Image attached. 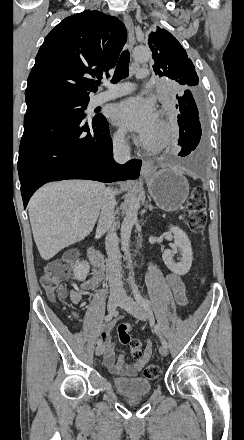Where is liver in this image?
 <instances>
[{"label":"liver","instance_id":"1","mask_svg":"<svg viewBox=\"0 0 244 440\" xmlns=\"http://www.w3.org/2000/svg\"><path fill=\"white\" fill-rule=\"evenodd\" d=\"M104 194L105 184L88 180L50 182L35 192L28 204L29 220L43 260L91 234Z\"/></svg>","mask_w":244,"mask_h":440}]
</instances>
